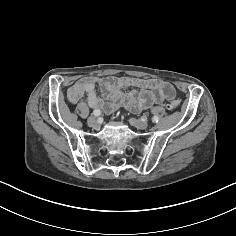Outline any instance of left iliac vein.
<instances>
[{"mask_svg": "<svg viewBox=\"0 0 236 236\" xmlns=\"http://www.w3.org/2000/svg\"><path fill=\"white\" fill-rule=\"evenodd\" d=\"M130 123L138 129H145L148 126L146 122L134 118L130 119Z\"/></svg>", "mask_w": 236, "mask_h": 236, "instance_id": "left-iliac-vein-1", "label": "left iliac vein"}]
</instances>
